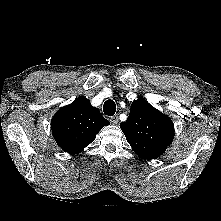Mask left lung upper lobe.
I'll return each mask as SVG.
<instances>
[{
	"mask_svg": "<svg viewBox=\"0 0 221 221\" xmlns=\"http://www.w3.org/2000/svg\"><path fill=\"white\" fill-rule=\"evenodd\" d=\"M120 128L133 151L147 160L162 155L174 138V125L170 118L143 98L132 103L130 114Z\"/></svg>",
	"mask_w": 221,
	"mask_h": 221,
	"instance_id": "1",
	"label": "left lung upper lobe"
}]
</instances>
